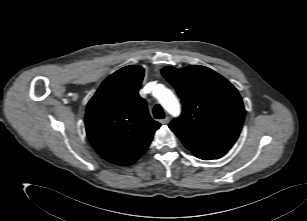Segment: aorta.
Masks as SVG:
<instances>
[{"instance_id": "762f6f07", "label": "aorta", "mask_w": 307, "mask_h": 221, "mask_svg": "<svg viewBox=\"0 0 307 221\" xmlns=\"http://www.w3.org/2000/svg\"><path fill=\"white\" fill-rule=\"evenodd\" d=\"M157 98L159 99L162 106L172 115L179 114L180 106L179 103L174 96V94L166 89L162 88L159 95H157Z\"/></svg>"}]
</instances>
